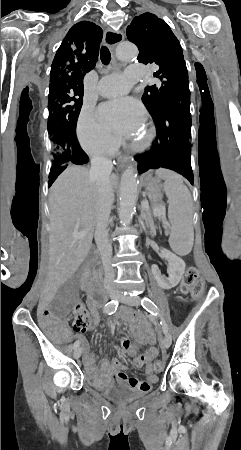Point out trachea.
I'll return each instance as SVG.
<instances>
[{"label": "trachea", "instance_id": "trachea-1", "mask_svg": "<svg viewBox=\"0 0 241 450\" xmlns=\"http://www.w3.org/2000/svg\"><path fill=\"white\" fill-rule=\"evenodd\" d=\"M100 59H101V62L104 63V65H108V63L110 62L111 53L107 47H101Z\"/></svg>", "mask_w": 241, "mask_h": 450}]
</instances>
